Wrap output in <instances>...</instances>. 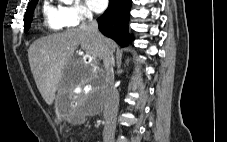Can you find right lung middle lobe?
Wrapping results in <instances>:
<instances>
[{
	"label": "right lung middle lobe",
	"mask_w": 227,
	"mask_h": 142,
	"mask_svg": "<svg viewBox=\"0 0 227 142\" xmlns=\"http://www.w3.org/2000/svg\"><path fill=\"white\" fill-rule=\"evenodd\" d=\"M38 2V0L32 2L29 4L25 17H24V30L27 31L30 28V23L32 21V15H33V11L35 8L36 3Z\"/></svg>",
	"instance_id": "obj_1"
}]
</instances>
